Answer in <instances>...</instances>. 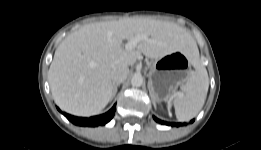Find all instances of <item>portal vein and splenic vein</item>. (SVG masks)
I'll list each match as a JSON object with an SVG mask.
<instances>
[{
  "mask_svg": "<svg viewBox=\"0 0 261 150\" xmlns=\"http://www.w3.org/2000/svg\"><path fill=\"white\" fill-rule=\"evenodd\" d=\"M148 37L145 34H141V35H136L133 38H130L128 43L125 45V47L127 49H133L137 46V44L141 41V40H146Z\"/></svg>",
  "mask_w": 261,
  "mask_h": 150,
  "instance_id": "portal-vein-and-splenic-vein-1",
  "label": "portal vein and splenic vein"
}]
</instances>
